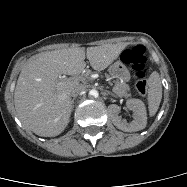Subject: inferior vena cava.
Instances as JSON below:
<instances>
[{
    "label": "inferior vena cava",
    "mask_w": 187,
    "mask_h": 187,
    "mask_svg": "<svg viewBox=\"0 0 187 187\" xmlns=\"http://www.w3.org/2000/svg\"><path fill=\"white\" fill-rule=\"evenodd\" d=\"M84 90V86L82 84H76L71 90V96L76 97Z\"/></svg>",
    "instance_id": "602c4592"
}]
</instances>
